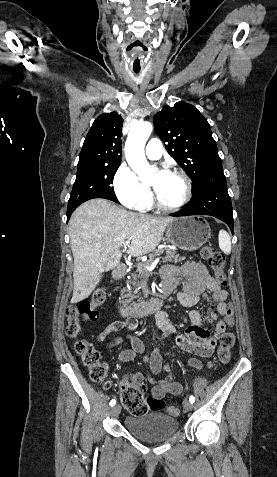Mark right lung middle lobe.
Returning a JSON list of instances; mask_svg holds the SVG:
<instances>
[{"label":"right lung middle lobe","instance_id":"dd1d6c3e","mask_svg":"<svg viewBox=\"0 0 277 477\" xmlns=\"http://www.w3.org/2000/svg\"><path fill=\"white\" fill-rule=\"evenodd\" d=\"M118 167L119 164L77 169L76 180L68 201V220L72 212L87 200L104 198L118 202L114 189L111 186Z\"/></svg>","mask_w":277,"mask_h":477}]
</instances>
